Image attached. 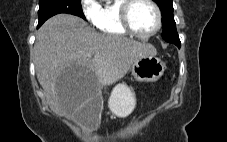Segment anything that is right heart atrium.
I'll list each match as a JSON object with an SVG mask.
<instances>
[{"label": "right heart atrium", "instance_id": "obj_1", "mask_svg": "<svg viewBox=\"0 0 227 142\" xmlns=\"http://www.w3.org/2000/svg\"><path fill=\"white\" fill-rule=\"evenodd\" d=\"M80 7L84 18L90 23L95 24L100 9L97 0H80Z\"/></svg>", "mask_w": 227, "mask_h": 142}]
</instances>
